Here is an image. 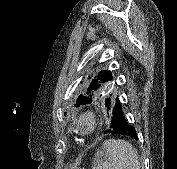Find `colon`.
I'll return each mask as SVG.
<instances>
[{
  "label": "colon",
  "instance_id": "1",
  "mask_svg": "<svg viewBox=\"0 0 177 169\" xmlns=\"http://www.w3.org/2000/svg\"><path fill=\"white\" fill-rule=\"evenodd\" d=\"M75 169H85V168H83V167H76Z\"/></svg>",
  "mask_w": 177,
  "mask_h": 169
}]
</instances>
